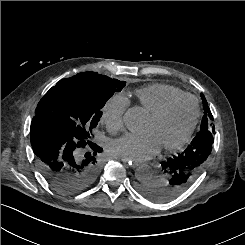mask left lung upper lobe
I'll return each mask as SVG.
<instances>
[{
	"mask_svg": "<svg viewBox=\"0 0 245 245\" xmlns=\"http://www.w3.org/2000/svg\"><path fill=\"white\" fill-rule=\"evenodd\" d=\"M201 98L203 100L204 116L202 118L199 133L214 131V127H212L213 115L203 94H201Z\"/></svg>",
	"mask_w": 245,
	"mask_h": 245,
	"instance_id": "1",
	"label": "left lung upper lobe"
}]
</instances>
